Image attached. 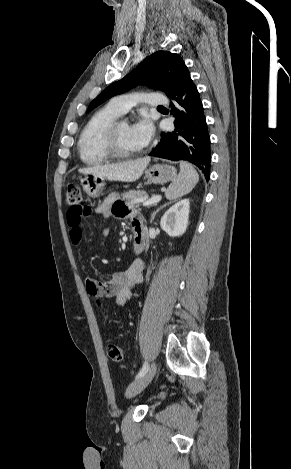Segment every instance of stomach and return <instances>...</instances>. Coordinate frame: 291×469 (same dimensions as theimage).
Listing matches in <instances>:
<instances>
[{
    "label": "stomach",
    "mask_w": 291,
    "mask_h": 469,
    "mask_svg": "<svg viewBox=\"0 0 291 469\" xmlns=\"http://www.w3.org/2000/svg\"><path fill=\"white\" fill-rule=\"evenodd\" d=\"M177 176L176 169L171 165L155 164L145 170V178L149 183L164 184L174 180ZM84 191L92 198L103 195L105 178L86 175L82 181Z\"/></svg>",
    "instance_id": "stomach-1"
}]
</instances>
